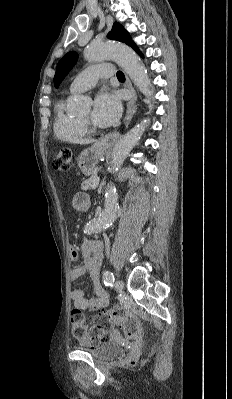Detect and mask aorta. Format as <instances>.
Instances as JSON below:
<instances>
[{"label":"aorta","mask_w":232,"mask_h":399,"mask_svg":"<svg viewBox=\"0 0 232 399\" xmlns=\"http://www.w3.org/2000/svg\"><path fill=\"white\" fill-rule=\"evenodd\" d=\"M84 58L89 62L104 59H113L128 74L139 90L148 98L152 97L151 82L147 70L141 63L138 55L130 47L121 43L96 41L88 45L84 51ZM87 100L84 97L74 98L73 105L77 109L85 107ZM146 120L137 124L124 134L115 144L111 156L110 171L114 174L119 171L128 154L135 147L145 131ZM118 194L115 186L109 184L105 193L104 210L98 217L92 219L85 226L87 234L97 233L108 228L116 219L118 211Z\"/></svg>","instance_id":"762f6f07"}]
</instances>
